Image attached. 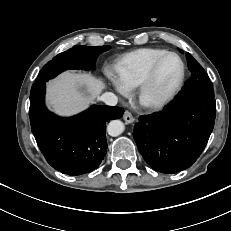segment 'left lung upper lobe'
Instances as JSON below:
<instances>
[{"mask_svg": "<svg viewBox=\"0 0 231 231\" xmlns=\"http://www.w3.org/2000/svg\"><path fill=\"white\" fill-rule=\"evenodd\" d=\"M180 52L182 53V50H180ZM186 58L188 61V68L191 72V77L176 97L186 95L214 97L213 85L202 66L191 56V54L186 53Z\"/></svg>", "mask_w": 231, "mask_h": 231, "instance_id": "1", "label": "left lung upper lobe"}]
</instances>
